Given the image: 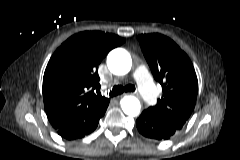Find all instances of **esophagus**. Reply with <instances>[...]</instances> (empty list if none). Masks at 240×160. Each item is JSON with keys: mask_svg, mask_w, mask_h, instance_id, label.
<instances>
[{"mask_svg": "<svg viewBox=\"0 0 240 160\" xmlns=\"http://www.w3.org/2000/svg\"><path fill=\"white\" fill-rule=\"evenodd\" d=\"M134 95H136V96H138V94L137 93H133Z\"/></svg>", "mask_w": 240, "mask_h": 160, "instance_id": "obj_1", "label": "esophagus"}]
</instances>
